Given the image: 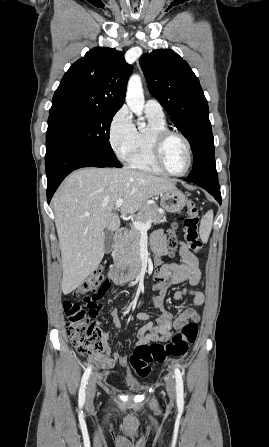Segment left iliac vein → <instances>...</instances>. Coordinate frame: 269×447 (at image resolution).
<instances>
[{
	"instance_id": "obj_1",
	"label": "left iliac vein",
	"mask_w": 269,
	"mask_h": 447,
	"mask_svg": "<svg viewBox=\"0 0 269 447\" xmlns=\"http://www.w3.org/2000/svg\"><path fill=\"white\" fill-rule=\"evenodd\" d=\"M166 390L170 399L173 401L175 396V381L171 377H168L166 380Z\"/></svg>"
}]
</instances>
